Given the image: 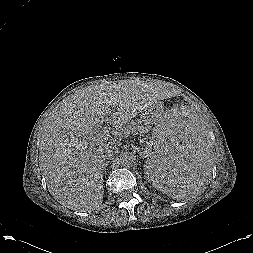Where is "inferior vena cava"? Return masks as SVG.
I'll return each instance as SVG.
<instances>
[{"label": "inferior vena cava", "mask_w": 253, "mask_h": 253, "mask_svg": "<svg viewBox=\"0 0 253 253\" xmlns=\"http://www.w3.org/2000/svg\"><path fill=\"white\" fill-rule=\"evenodd\" d=\"M116 150H117V147L114 145L107 146L104 157L105 158L111 157Z\"/></svg>", "instance_id": "obj_1"}]
</instances>
